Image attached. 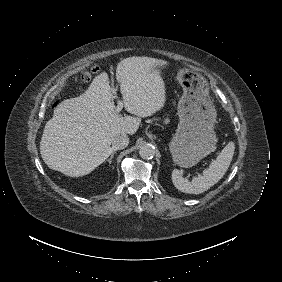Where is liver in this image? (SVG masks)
Here are the masks:
<instances>
[{"label":"liver","instance_id":"1","mask_svg":"<svg viewBox=\"0 0 282 282\" xmlns=\"http://www.w3.org/2000/svg\"><path fill=\"white\" fill-rule=\"evenodd\" d=\"M152 57H128L117 64L124 109L136 116L118 117L108 76L96 77L84 94L63 101L45 125L40 152L45 163L69 176L91 172L110 155L112 138L133 134L141 118L151 115L164 103V84L158 74L149 71Z\"/></svg>","mask_w":282,"mask_h":282}]
</instances>
